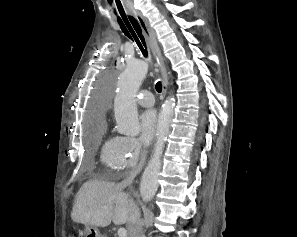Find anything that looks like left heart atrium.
Returning a JSON list of instances; mask_svg holds the SVG:
<instances>
[{"mask_svg": "<svg viewBox=\"0 0 297 237\" xmlns=\"http://www.w3.org/2000/svg\"><path fill=\"white\" fill-rule=\"evenodd\" d=\"M158 126L157 113L154 109H148L140 115V139L144 144L153 140Z\"/></svg>", "mask_w": 297, "mask_h": 237, "instance_id": "left-heart-atrium-1", "label": "left heart atrium"}]
</instances>
